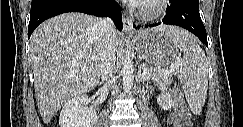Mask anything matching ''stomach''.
Listing matches in <instances>:
<instances>
[{
  "mask_svg": "<svg viewBox=\"0 0 243 127\" xmlns=\"http://www.w3.org/2000/svg\"><path fill=\"white\" fill-rule=\"evenodd\" d=\"M167 26L140 31L134 39L138 54L157 67H168L178 57V48Z\"/></svg>",
  "mask_w": 243,
  "mask_h": 127,
  "instance_id": "0dacf381",
  "label": "stomach"
}]
</instances>
